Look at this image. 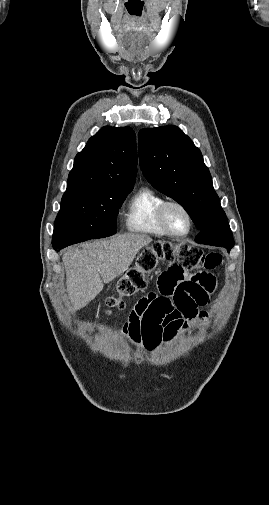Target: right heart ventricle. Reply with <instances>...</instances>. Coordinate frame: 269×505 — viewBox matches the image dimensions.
<instances>
[{
	"label": "right heart ventricle",
	"instance_id": "obj_1",
	"mask_svg": "<svg viewBox=\"0 0 269 505\" xmlns=\"http://www.w3.org/2000/svg\"><path fill=\"white\" fill-rule=\"evenodd\" d=\"M164 198L149 187H141L129 200L125 226L128 231L155 237L166 236L157 220V209Z\"/></svg>",
	"mask_w": 269,
	"mask_h": 505
}]
</instances>
